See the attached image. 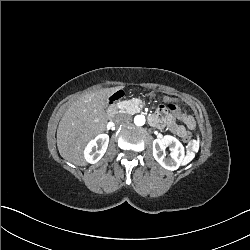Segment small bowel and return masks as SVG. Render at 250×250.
I'll list each match as a JSON object with an SVG mask.
<instances>
[{"label":"small bowel","instance_id":"c3829d8e","mask_svg":"<svg viewBox=\"0 0 250 250\" xmlns=\"http://www.w3.org/2000/svg\"><path fill=\"white\" fill-rule=\"evenodd\" d=\"M177 118L182 120L183 117H189L186 113L179 111L178 114H176ZM191 118V117H190Z\"/></svg>","mask_w":250,"mask_h":250}]
</instances>
